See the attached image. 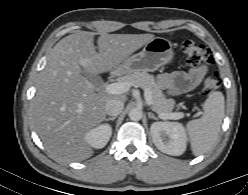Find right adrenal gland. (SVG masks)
Returning a JSON list of instances; mask_svg holds the SVG:
<instances>
[{
	"mask_svg": "<svg viewBox=\"0 0 248 195\" xmlns=\"http://www.w3.org/2000/svg\"><path fill=\"white\" fill-rule=\"evenodd\" d=\"M117 117L116 116H113V117H108V118H105V121H110V120H115Z\"/></svg>",
	"mask_w": 248,
	"mask_h": 195,
	"instance_id": "obj_1",
	"label": "right adrenal gland"
}]
</instances>
